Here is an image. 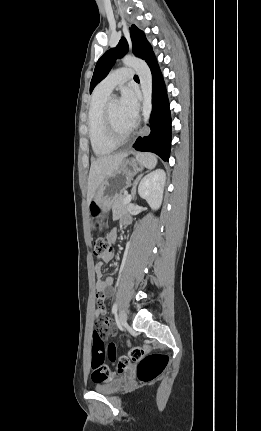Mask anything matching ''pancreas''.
<instances>
[{"instance_id": "pancreas-1", "label": "pancreas", "mask_w": 261, "mask_h": 431, "mask_svg": "<svg viewBox=\"0 0 261 431\" xmlns=\"http://www.w3.org/2000/svg\"><path fill=\"white\" fill-rule=\"evenodd\" d=\"M126 198V195L124 194H119L113 201L112 203V212L114 216H118L121 213H126L128 208H129V204H124V199Z\"/></svg>"}]
</instances>
